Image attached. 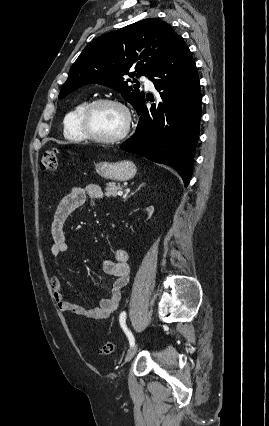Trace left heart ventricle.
I'll list each match as a JSON object with an SVG mask.
<instances>
[{
  "label": "left heart ventricle",
  "mask_w": 269,
  "mask_h": 426,
  "mask_svg": "<svg viewBox=\"0 0 269 426\" xmlns=\"http://www.w3.org/2000/svg\"><path fill=\"white\" fill-rule=\"evenodd\" d=\"M88 123L94 134L101 137H111L122 130L124 115L115 106L99 105L92 110Z\"/></svg>",
  "instance_id": "left-heart-ventricle-1"
}]
</instances>
